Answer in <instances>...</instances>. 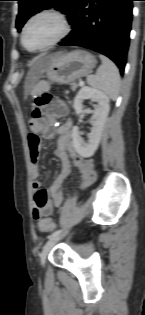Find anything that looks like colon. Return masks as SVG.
I'll return each instance as SVG.
<instances>
[{"instance_id": "obj_1", "label": "colon", "mask_w": 145, "mask_h": 315, "mask_svg": "<svg viewBox=\"0 0 145 315\" xmlns=\"http://www.w3.org/2000/svg\"><path fill=\"white\" fill-rule=\"evenodd\" d=\"M65 111L64 104L56 100L52 97V95L45 93L40 97L36 98L32 116L29 120L30 126L34 127L37 122L51 118V117H58L63 114ZM55 227V223L51 218H42L39 221V229L44 232H49L53 230Z\"/></svg>"}]
</instances>
